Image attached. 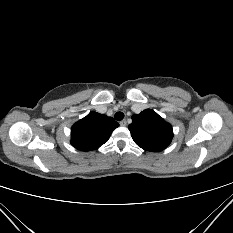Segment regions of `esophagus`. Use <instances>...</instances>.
<instances>
[{"instance_id": "esophagus-1", "label": "esophagus", "mask_w": 233, "mask_h": 233, "mask_svg": "<svg viewBox=\"0 0 233 233\" xmlns=\"http://www.w3.org/2000/svg\"><path fill=\"white\" fill-rule=\"evenodd\" d=\"M126 124H127V121L124 119V120H122V121H120V125L121 126H126Z\"/></svg>"}]
</instances>
